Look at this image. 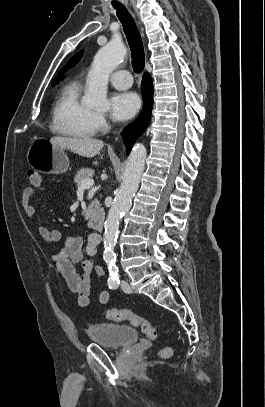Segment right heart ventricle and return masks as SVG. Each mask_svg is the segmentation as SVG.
Instances as JSON below:
<instances>
[{"mask_svg": "<svg viewBox=\"0 0 265 407\" xmlns=\"http://www.w3.org/2000/svg\"><path fill=\"white\" fill-rule=\"evenodd\" d=\"M51 129L59 135L89 138L96 133L94 113L80 100V84H66L52 108Z\"/></svg>", "mask_w": 265, "mask_h": 407, "instance_id": "e07e8e85", "label": "right heart ventricle"}]
</instances>
